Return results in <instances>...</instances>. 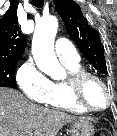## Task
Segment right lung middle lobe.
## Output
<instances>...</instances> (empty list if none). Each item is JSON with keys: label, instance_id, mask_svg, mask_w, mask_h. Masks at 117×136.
Listing matches in <instances>:
<instances>
[{"label": "right lung middle lobe", "instance_id": "dd1d6c3e", "mask_svg": "<svg viewBox=\"0 0 117 136\" xmlns=\"http://www.w3.org/2000/svg\"><path fill=\"white\" fill-rule=\"evenodd\" d=\"M18 61H0V87L15 88V65Z\"/></svg>", "mask_w": 117, "mask_h": 136}]
</instances>
